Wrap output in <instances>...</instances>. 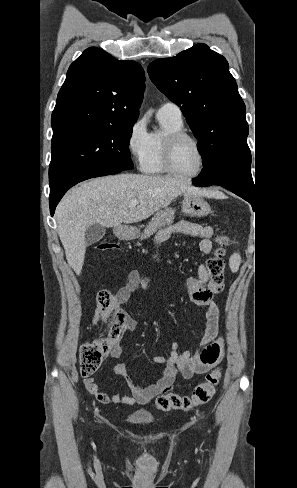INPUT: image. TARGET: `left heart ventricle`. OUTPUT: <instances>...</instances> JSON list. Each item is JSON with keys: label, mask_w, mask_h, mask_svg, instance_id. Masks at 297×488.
I'll return each mask as SVG.
<instances>
[{"label": "left heart ventricle", "mask_w": 297, "mask_h": 488, "mask_svg": "<svg viewBox=\"0 0 297 488\" xmlns=\"http://www.w3.org/2000/svg\"><path fill=\"white\" fill-rule=\"evenodd\" d=\"M200 155L193 142H181L174 154L175 168L182 174L193 173L199 166Z\"/></svg>", "instance_id": "b2bd125f"}]
</instances>
